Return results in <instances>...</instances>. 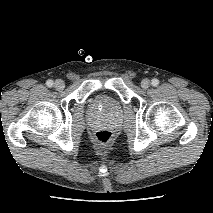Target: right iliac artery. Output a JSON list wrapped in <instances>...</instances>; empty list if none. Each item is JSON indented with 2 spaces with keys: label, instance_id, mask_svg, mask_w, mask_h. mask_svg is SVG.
Instances as JSON below:
<instances>
[{
  "label": "right iliac artery",
  "instance_id": "right-iliac-artery-1",
  "mask_svg": "<svg viewBox=\"0 0 213 213\" xmlns=\"http://www.w3.org/2000/svg\"><path fill=\"white\" fill-rule=\"evenodd\" d=\"M46 85H47L48 87H52V86H53V81H52V80H48V81L46 82Z\"/></svg>",
  "mask_w": 213,
  "mask_h": 213
}]
</instances>
